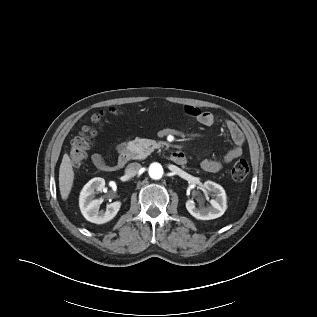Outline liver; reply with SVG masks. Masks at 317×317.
<instances>
[{
	"label": "liver",
	"mask_w": 317,
	"mask_h": 317,
	"mask_svg": "<svg viewBox=\"0 0 317 317\" xmlns=\"http://www.w3.org/2000/svg\"><path fill=\"white\" fill-rule=\"evenodd\" d=\"M74 180V171L68 154H64L59 168V188L63 200H66L71 192Z\"/></svg>",
	"instance_id": "1"
}]
</instances>
